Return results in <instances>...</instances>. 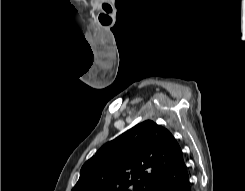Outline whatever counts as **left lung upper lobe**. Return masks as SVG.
<instances>
[{"instance_id": "5c2ea615", "label": "left lung upper lobe", "mask_w": 245, "mask_h": 191, "mask_svg": "<svg viewBox=\"0 0 245 191\" xmlns=\"http://www.w3.org/2000/svg\"><path fill=\"white\" fill-rule=\"evenodd\" d=\"M180 154L170 131L146 120L103 145L72 191H152Z\"/></svg>"}]
</instances>
